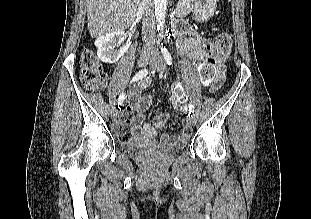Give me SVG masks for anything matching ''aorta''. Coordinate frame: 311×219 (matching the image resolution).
I'll return each instance as SVG.
<instances>
[{
	"mask_svg": "<svg viewBox=\"0 0 311 219\" xmlns=\"http://www.w3.org/2000/svg\"><path fill=\"white\" fill-rule=\"evenodd\" d=\"M155 4V17L157 21V29L158 31L164 28L165 24V15L167 9V0H154ZM159 38H163V34L159 33Z\"/></svg>",
	"mask_w": 311,
	"mask_h": 219,
	"instance_id": "762f6f07",
	"label": "aorta"
}]
</instances>
